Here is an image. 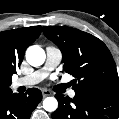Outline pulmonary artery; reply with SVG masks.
<instances>
[{"label":"pulmonary artery","mask_w":119,"mask_h":119,"mask_svg":"<svg viewBox=\"0 0 119 119\" xmlns=\"http://www.w3.org/2000/svg\"><path fill=\"white\" fill-rule=\"evenodd\" d=\"M61 60L62 53L60 49L54 46H48L46 48V60L44 66L24 77L17 78L13 81L12 87L18 88L20 86H33L38 84L48 75L50 71L54 70L59 65ZM69 96L73 98L75 96V91L70 90Z\"/></svg>","instance_id":"1"}]
</instances>
